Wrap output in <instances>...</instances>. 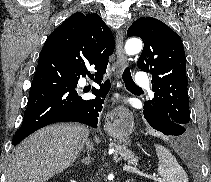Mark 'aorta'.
I'll return each mask as SVG.
<instances>
[{"instance_id":"obj_1","label":"aorta","mask_w":211,"mask_h":182,"mask_svg":"<svg viewBox=\"0 0 211 182\" xmlns=\"http://www.w3.org/2000/svg\"><path fill=\"white\" fill-rule=\"evenodd\" d=\"M142 49V41L138 38H130L125 44V53L127 55H135Z\"/></svg>"}]
</instances>
